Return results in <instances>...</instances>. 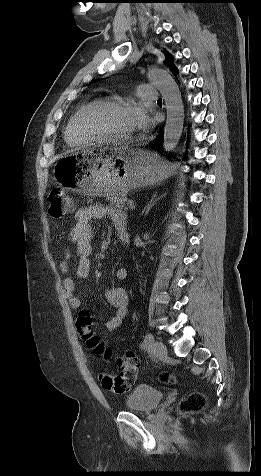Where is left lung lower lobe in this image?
Wrapping results in <instances>:
<instances>
[{
  "mask_svg": "<svg viewBox=\"0 0 261 476\" xmlns=\"http://www.w3.org/2000/svg\"><path fill=\"white\" fill-rule=\"evenodd\" d=\"M163 133L151 144V147L159 152V151H163ZM171 155V153L169 154Z\"/></svg>",
  "mask_w": 261,
  "mask_h": 476,
  "instance_id": "0a47b994",
  "label": "left lung lower lobe"
}]
</instances>
